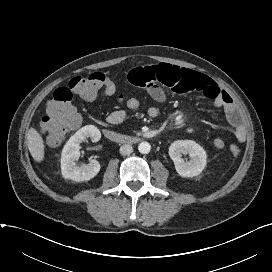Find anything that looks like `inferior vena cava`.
<instances>
[{"instance_id": "1", "label": "inferior vena cava", "mask_w": 272, "mask_h": 272, "mask_svg": "<svg viewBox=\"0 0 272 272\" xmlns=\"http://www.w3.org/2000/svg\"><path fill=\"white\" fill-rule=\"evenodd\" d=\"M133 152V147L129 144H124L120 147V153L122 155H129Z\"/></svg>"}]
</instances>
